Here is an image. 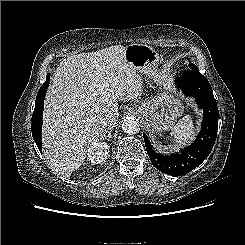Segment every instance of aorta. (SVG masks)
Listing matches in <instances>:
<instances>
[{
  "mask_svg": "<svg viewBox=\"0 0 245 245\" xmlns=\"http://www.w3.org/2000/svg\"><path fill=\"white\" fill-rule=\"evenodd\" d=\"M122 129L128 135H134L140 130L139 121L135 117H127L122 122Z\"/></svg>",
  "mask_w": 245,
  "mask_h": 245,
  "instance_id": "762f6f07",
  "label": "aorta"
}]
</instances>
